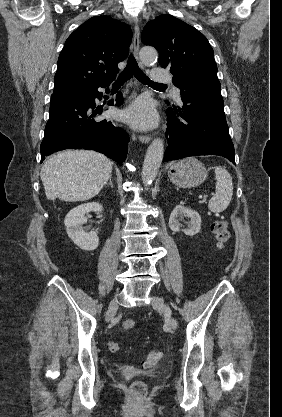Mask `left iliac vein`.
Segmentation results:
<instances>
[{"mask_svg": "<svg viewBox=\"0 0 282 417\" xmlns=\"http://www.w3.org/2000/svg\"><path fill=\"white\" fill-rule=\"evenodd\" d=\"M152 307L157 310L158 312H161L165 315V321L167 325L172 329L176 330L178 327L177 321L166 311L164 301L162 298L159 297H153L151 301Z\"/></svg>", "mask_w": 282, "mask_h": 417, "instance_id": "1", "label": "left iliac vein"}]
</instances>
